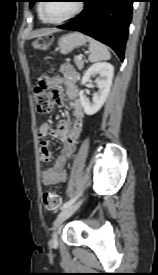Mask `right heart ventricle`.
<instances>
[{"label":"right heart ventricle","instance_id":"1","mask_svg":"<svg viewBox=\"0 0 158 275\" xmlns=\"http://www.w3.org/2000/svg\"><path fill=\"white\" fill-rule=\"evenodd\" d=\"M39 7H40V5H38V8H37V9H38L39 18H40V20H41L42 22H45V21L42 19L41 15H40Z\"/></svg>","mask_w":158,"mask_h":275}]
</instances>
